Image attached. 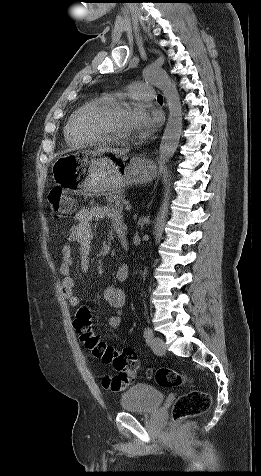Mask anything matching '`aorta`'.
<instances>
[{
    "label": "aorta",
    "mask_w": 261,
    "mask_h": 476,
    "mask_svg": "<svg viewBox=\"0 0 261 476\" xmlns=\"http://www.w3.org/2000/svg\"><path fill=\"white\" fill-rule=\"evenodd\" d=\"M144 78L163 92L169 109L168 120L159 146L160 162L165 164L173 157L182 132L180 97L176 84L164 70L150 66L145 70Z\"/></svg>",
    "instance_id": "obj_1"
}]
</instances>
